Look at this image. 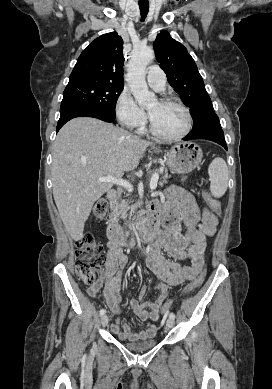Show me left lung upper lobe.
<instances>
[{
  "instance_id": "5c2ea615",
  "label": "left lung upper lobe",
  "mask_w": 272,
  "mask_h": 389,
  "mask_svg": "<svg viewBox=\"0 0 272 389\" xmlns=\"http://www.w3.org/2000/svg\"><path fill=\"white\" fill-rule=\"evenodd\" d=\"M157 61L168 82L191 110L193 128L215 115L197 66L187 49L167 31H161L153 43Z\"/></svg>"
}]
</instances>
